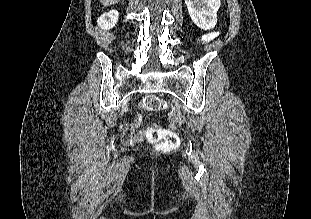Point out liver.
I'll use <instances>...</instances> for the list:
<instances>
[{"label":"liver","instance_id":"1","mask_svg":"<svg viewBox=\"0 0 311 219\" xmlns=\"http://www.w3.org/2000/svg\"><path fill=\"white\" fill-rule=\"evenodd\" d=\"M119 0H100V2L104 5V6H109V5H113L115 3H117Z\"/></svg>","mask_w":311,"mask_h":219}]
</instances>
